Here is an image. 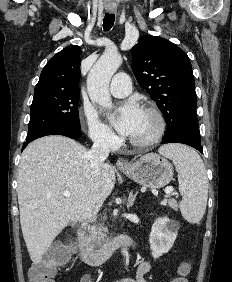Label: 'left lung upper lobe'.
<instances>
[{
  "mask_svg": "<svg viewBox=\"0 0 232 282\" xmlns=\"http://www.w3.org/2000/svg\"><path fill=\"white\" fill-rule=\"evenodd\" d=\"M132 70L164 115L167 124L198 122L192 66L187 54L172 42L144 36L132 48Z\"/></svg>",
  "mask_w": 232,
  "mask_h": 282,
  "instance_id": "obj_1",
  "label": "left lung upper lobe"
}]
</instances>
